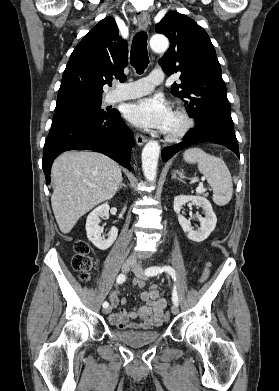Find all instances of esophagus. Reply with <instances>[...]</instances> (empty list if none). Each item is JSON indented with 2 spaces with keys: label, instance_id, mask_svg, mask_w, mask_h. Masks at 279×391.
<instances>
[{
  "label": "esophagus",
  "instance_id": "34e87169",
  "mask_svg": "<svg viewBox=\"0 0 279 391\" xmlns=\"http://www.w3.org/2000/svg\"><path fill=\"white\" fill-rule=\"evenodd\" d=\"M138 23L142 29L148 27V14L145 12L138 13ZM147 141V138L141 134L136 135V142L139 146H142Z\"/></svg>",
  "mask_w": 279,
  "mask_h": 391
}]
</instances>
